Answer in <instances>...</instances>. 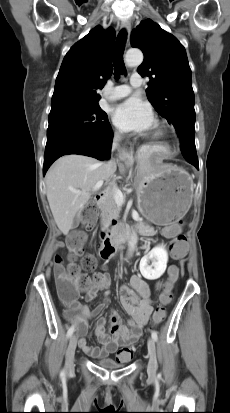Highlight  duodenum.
I'll return each instance as SVG.
<instances>
[{
	"label": "duodenum",
	"mask_w": 230,
	"mask_h": 413,
	"mask_svg": "<svg viewBox=\"0 0 230 413\" xmlns=\"http://www.w3.org/2000/svg\"><path fill=\"white\" fill-rule=\"evenodd\" d=\"M107 190L99 191L95 196L97 203H102L106 198ZM129 240V231L116 223H110L104 231V239L100 247V256L108 259L114 256L119 248Z\"/></svg>",
	"instance_id": "1"
}]
</instances>
